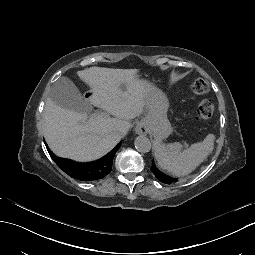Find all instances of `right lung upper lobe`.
I'll use <instances>...</instances> for the list:
<instances>
[{
    "instance_id": "obj_1",
    "label": "right lung upper lobe",
    "mask_w": 255,
    "mask_h": 255,
    "mask_svg": "<svg viewBox=\"0 0 255 255\" xmlns=\"http://www.w3.org/2000/svg\"><path fill=\"white\" fill-rule=\"evenodd\" d=\"M120 145L121 143L102 159L90 163H78L69 159L60 158L53 154L48 148L47 150L58 167L72 178L81 181H94L105 177L111 172L113 158ZM87 167L92 169L90 174L85 172Z\"/></svg>"
}]
</instances>
